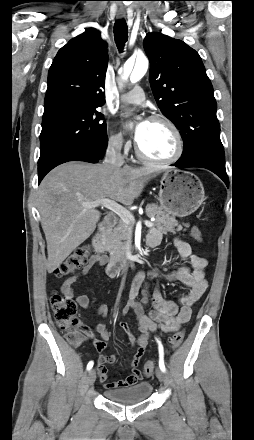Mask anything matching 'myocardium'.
<instances>
[{"label": "myocardium", "mask_w": 254, "mask_h": 440, "mask_svg": "<svg viewBox=\"0 0 254 440\" xmlns=\"http://www.w3.org/2000/svg\"><path fill=\"white\" fill-rule=\"evenodd\" d=\"M150 121L164 123L172 130V132L174 133V135L176 137V141H177L176 152L172 157L167 158V159H154V158H151V157L145 155L137 143L136 147H135V152H136L137 157L140 160H142L146 163L153 164V165H170V164L177 162L182 157V155L184 153V149H185V142H184V138H183V135H182L180 129L171 119H169L165 116H162V115L153 116L150 118Z\"/></svg>", "instance_id": "myocardium-1"}]
</instances>
